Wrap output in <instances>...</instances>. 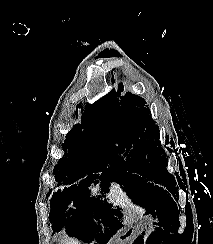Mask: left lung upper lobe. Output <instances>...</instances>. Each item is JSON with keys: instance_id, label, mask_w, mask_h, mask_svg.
<instances>
[{"instance_id": "obj_1", "label": "left lung upper lobe", "mask_w": 213, "mask_h": 244, "mask_svg": "<svg viewBox=\"0 0 213 244\" xmlns=\"http://www.w3.org/2000/svg\"><path fill=\"white\" fill-rule=\"evenodd\" d=\"M120 90L123 91L122 83L118 92L111 91L103 102L114 125L128 138L133 163L157 176V181L165 184L169 191H177L175 179L166 169L165 150L156 140L160 138L159 127L154 125L149 109L145 108V100L130 92L122 95Z\"/></svg>"}]
</instances>
